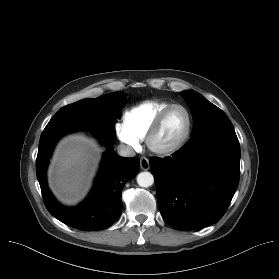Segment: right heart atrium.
I'll return each instance as SVG.
<instances>
[{
	"mask_svg": "<svg viewBox=\"0 0 279 279\" xmlns=\"http://www.w3.org/2000/svg\"><path fill=\"white\" fill-rule=\"evenodd\" d=\"M115 133L118 139L131 149L139 146V139L135 137L123 124L115 125Z\"/></svg>",
	"mask_w": 279,
	"mask_h": 279,
	"instance_id": "1",
	"label": "right heart atrium"
}]
</instances>
